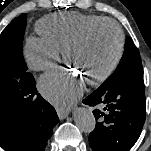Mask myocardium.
I'll list each match as a JSON object with an SVG mask.
<instances>
[{
  "label": "myocardium",
  "mask_w": 151,
  "mask_h": 151,
  "mask_svg": "<svg viewBox=\"0 0 151 151\" xmlns=\"http://www.w3.org/2000/svg\"><path fill=\"white\" fill-rule=\"evenodd\" d=\"M106 25L112 26L117 34V52L109 67L102 74L88 81L90 85H99L105 82L117 69L123 57L124 45H125V37L121 26L116 21L109 18L96 21L90 24L89 26H87L77 36H75L68 43H66V45L62 50L63 59L68 64L69 52L75 49L76 47H78L79 45H81L90 35V33L93 32L95 29Z\"/></svg>",
  "instance_id": "1"
}]
</instances>
